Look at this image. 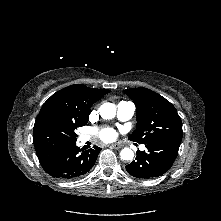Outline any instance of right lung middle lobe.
Wrapping results in <instances>:
<instances>
[{"mask_svg": "<svg viewBox=\"0 0 221 221\" xmlns=\"http://www.w3.org/2000/svg\"><path fill=\"white\" fill-rule=\"evenodd\" d=\"M87 122L63 112L50 110L40 112L34 125V146L37 155L76 143L78 135L75 130Z\"/></svg>", "mask_w": 221, "mask_h": 221, "instance_id": "1", "label": "right lung middle lobe"}]
</instances>
